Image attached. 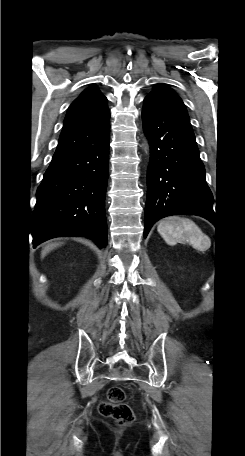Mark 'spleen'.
Masks as SVG:
<instances>
[{
  "instance_id": "3e777b00",
  "label": "spleen",
  "mask_w": 245,
  "mask_h": 456,
  "mask_svg": "<svg viewBox=\"0 0 245 456\" xmlns=\"http://www.w3.org/2000/svg\"><path fill=\"white\" fill-rule=\"evenodd\" d=\"M157 230L170 245H175L178 241H186L201 251L211 245L210 239L188 218L178 216L165 218L160 221Z\"/></svg>"
}]
</instances>
